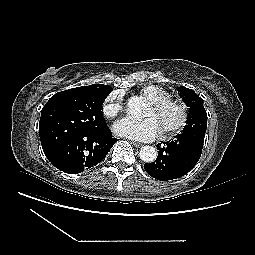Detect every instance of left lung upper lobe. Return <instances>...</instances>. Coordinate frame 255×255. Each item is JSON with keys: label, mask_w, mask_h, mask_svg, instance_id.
<instances>
[{"label": "left lung upper lobe", "mask_w": 255, "mask_h": 255, "mask_svg": "<svg viewBox=\"0 0 255 255\" xmlns=\"http://www.w3.org/2000/svg\"><path fill=\"white\" fill-rule=\"evenodd\" d=\"M180 96L183 101L190 107L187 125L183 129V133L179 135H186L194 128H207V113L203 106V99L200 98L192 89L180 86L178 88Z\"/></svg>", "instance_id": "1"}]
</instances>
